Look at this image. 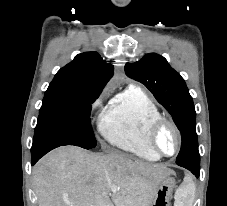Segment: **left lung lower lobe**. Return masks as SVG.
<instances>
[{"instance_id": "0a47b994", "label": "left lung lower lobe", "mask_w": 227, "mask_h": 206, "mask_svg": "<svg viewBox=\"0 0 227 206\" xmlns=\"http://www.w3.org/2000/svg\"><path fill=\"white\" fill-rule=\"evenodd\" d=\"M177 165L190 170L197 178L200 173V164H186V163H176Z\"/></svg>"}]
</instances>
